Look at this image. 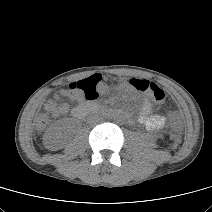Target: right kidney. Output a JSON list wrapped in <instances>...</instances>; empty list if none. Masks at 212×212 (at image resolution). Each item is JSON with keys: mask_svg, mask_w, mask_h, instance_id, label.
I'll return each instance as SVG.
<instances>
[{"mask_svg": "<svg viewBox=\"0 0 212 212\" xmlns=\"http://www.w3.org/2000/svg\"><path fill=\"white\" fill-rule=\"evenodd\" d=\"M53 137H54V133L50 132V133L48 134V138H53Z\"/></svg>", "mask_w": 212, "mask_h": 212, "instance_id": "obj_1", "label": "right kidney"}]
</instances>
